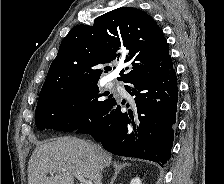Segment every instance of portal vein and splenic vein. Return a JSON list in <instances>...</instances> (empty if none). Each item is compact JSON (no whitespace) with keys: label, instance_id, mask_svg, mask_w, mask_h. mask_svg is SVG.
<instances>
[{"label":"portal vein and splenic vein","instance_id":"1","mask_svg":"<svg viewBox=\"0 0 224 184\" xmlns=\"http://www.w3.org/2000/svg\"><path fill=\"white\" fill-rule=\"evenodd\" d=\"M76 178L80 181V184H92L91 180H86L83 176L75 174Z\"/></svg>","mask_w":224,"mask_h":184}]
</instances>
